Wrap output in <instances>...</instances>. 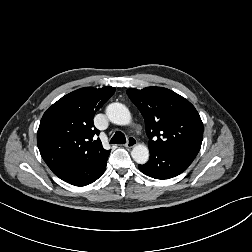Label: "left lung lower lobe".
<instances>
[{"label": "left lung lower lobe", "instance_id": "0a47b994", "mask_svg": "<svg viewBox=\"0 0 252 252\" xmlns=\"http://www.w3.org/2000/svg\"><path fill=\"white\" fill-rule=\"evenodd\" d=\"M196 156L186 152H150L149 161L139 165L145 175L155 179H169L184 172Z\"/></svg>", "mask_w": 252, "mask_h": 252}]
</instances>
